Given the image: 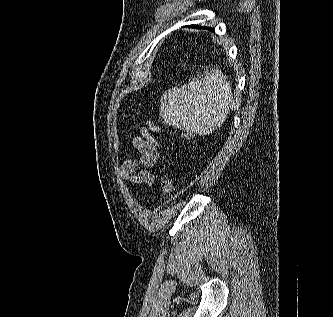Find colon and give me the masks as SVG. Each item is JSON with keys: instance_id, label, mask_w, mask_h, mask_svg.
<instances>
[{"instance_id": "obj_1", "label": "colon", "mask_w": 333, "mask_h": 317, "mask_svg": "<svg viewBox=\"0 0 333 317\" xmlns=\"http://www.w3.org/2000/svg\"><path fill=\"white\" fill-rule=\"evenodd\" d=\"M181 138L189 140L194 136V132L191 129H184L180 133ZM161 192L164 196H169L174 190L173 182L170 178L165 176H159L157 178Z\"/></svg>"}]
</instances>
